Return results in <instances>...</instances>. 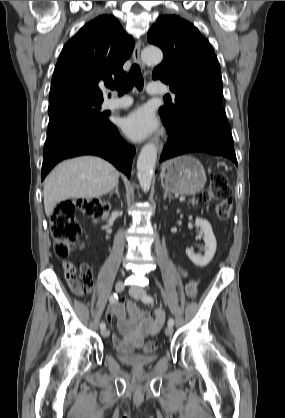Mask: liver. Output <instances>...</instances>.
<instances>
[{"instance_id":"6515ba94","label":"liver","mask_w":285,"mask_h":418,"mask_svg":"<svg viewBox=\"0 0 285 418\" xmlns=\"http://www.w3.org/2000/svg\"><path fill=\"white\" fill-rule=\"evenodd\" d=\"M119 173L107 161L82 156L58 164L44 181V209L49 217L61 201L69 198H93L112 191Z\"/></svg>"}]
</instances>
